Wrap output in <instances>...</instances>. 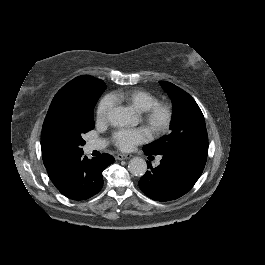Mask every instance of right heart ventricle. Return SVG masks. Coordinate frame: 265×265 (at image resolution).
Segmentation results:
<instances>
[{"mask_svg": "<svg viewBox=\"0 0 265 265\" xmlns=\"http://www.w3.org/2000/svg\"><path fill=\"white\" fill-rule=\"evenodd\" d=\"M115 104L133 108L142 113L157 103V98L150 92L140 88H122L110 94Z\"/></svg>", "mask_w": 265, "mask_h": 265, "instance_id": "right-heart-ventricle-1", "label": "right heart ventricle"}]
</instances>
